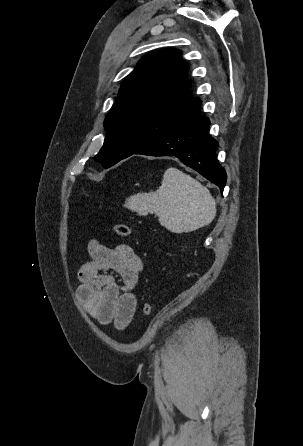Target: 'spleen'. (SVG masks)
<instances>
[{"label":"spleen","instance_id":"3e777b00","mask_svg":"<svg viewBox=\"0 0 303 446\" xmlns=\"http://www.w3.org/2000/svg\"><path fill=\"white\" fill-rule=\"evenodd\" d=\"M125 207L142 216L153 211L162 226L178 234L209 225L216 214V202L210 191L174 167L165 171L156 191L128 197Z\"/></svg>","mask_w":303,"mask_h":446}]
</instances>
